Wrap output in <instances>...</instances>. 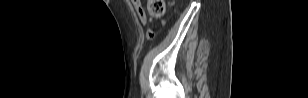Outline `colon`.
I'll return each mask as SVG.
<instances>
[{
  "instance_id": "obj_1",
  "label": "colon",
  "mask_w": 308,
  "mask_h": 98,
  "mask_svg": "<svg viewBox=\"0 0 308 98\" xmlns=\"http://www.w3.org/2000/svg\"><path fill=\"white\" fill-rule=\"evenodd\" d=\"M148 12L154 18H161L165 13V2L164 0H149L148 1ZM149 37H153L154 33L150 31Z\"/></svg>"
}]
</instances>
